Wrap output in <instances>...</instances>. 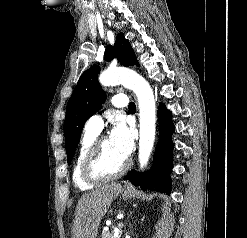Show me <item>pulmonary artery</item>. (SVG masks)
<instances>
[{"label": "pulmonary artery", "mask_w": 247, "mask_h": 238, "mask_svg": "<svg viewBox=\"0 0 247 238\" xmlns=\"http://www.w3.org/2000/svg\"><path fill=\"white\" fill-rule=\"evenodd\" d=\"M111 104L114 107H125L128 105V98L124 94H117L112 97ZM102 127H103V119L100 114H94L87 120L85 124L86 130H90L97 133L101 131Z\"/></svg>", "instance_id": "e3ab8cb5"}]
</instances>
